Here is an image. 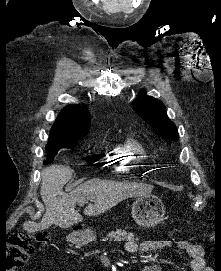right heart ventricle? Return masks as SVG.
<instances>
[{
  "instance_id": "obj_1",
  "label": "right heart ventricle",
  "mask_w": 221,
  "mask_h": 271,
  "mask_svg": "<svg viewBox=\"0 0 221 271\" xmlns=\"http://www.w3.org/2000/svg\"><path fill=\"white\" fill-rule=\"evenodd\" d=\"M122 147H126L125 149L128 151H135L139 154L145 155L146 149L145 147L140 143H133L132 146H130V142H122L120 144ZM130 147V148H129ZM137 156L135 154H117L116 158H107V163H114V164H142L144 161L140 158H136ZM131 167L136 166H116L117 172H121L120 174L122 176H126L128 173L131 172L133 169Z\"/></svg>"
}]
</instances>
